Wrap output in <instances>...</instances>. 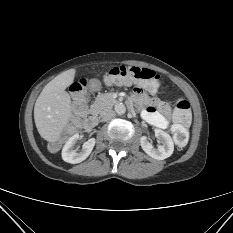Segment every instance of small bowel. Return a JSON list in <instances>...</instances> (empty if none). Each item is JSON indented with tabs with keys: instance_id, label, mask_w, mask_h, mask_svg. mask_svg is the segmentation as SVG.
<instances>
[{
	"instance_id": "c3829d8e",
	"label": "small bowel",
	"mask_w": 233,
	"mask_h": 233,
	"mask_svg": "<svg viewBox=\"0 0 233 233\" xmlns=\"http://www.w3.org/2000/svg\"><path fill=\"white\" fill-rule=\"evenodd\" d=\"M136 96L147 105L142 115L148 123L161 129L170 126V109L165 103L148 97L141 88H137Z\"/></svg>"
}]
</instances>
